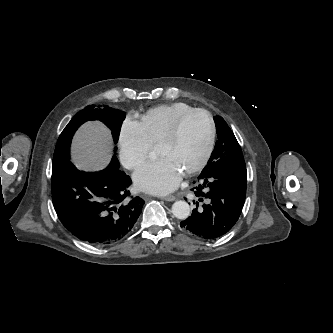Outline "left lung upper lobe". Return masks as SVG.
<instances>
[{"label":"left lung upper lobe","instance_id":"left-lung-upper-lobe-1","mask_svg":"<svg viewBox=\"0 0 333 333\" xmlns=\"http://www.w3.org/2000/svg\"><path fill=\"white\" fill-rule=\"evenodd\" d=\"M218 140L211 157L203 171L214 169L230 171L245 168L241 147L227 123L220 116H214Z\"/></svg>","mask_w":333,"mask_h":333}]
</instances>
